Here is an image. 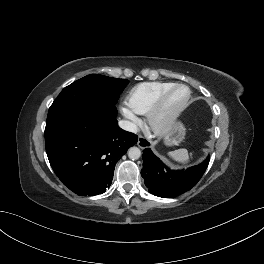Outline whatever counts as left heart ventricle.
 <instances>
[{
  "label": "left heart ventricle",
  "instance_id": "left-heart-ventricle-1",
  "mask_svg": "<svg viewBox=\"0 0 264 264\" xmlns=\"http://www.w3.org/2000/svg\"><path fill=\"white\" fill-rule=\"evenodd\" d=\"M186 97H187V90L185 88H178L174 90L166 102L163 114L164 115L170 114L172 111H174L178 106H180L183 103Z\"/></svg>",
  "mask_w": 264,
  "mask_h": 264
}]
</instances>
